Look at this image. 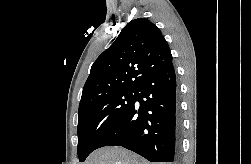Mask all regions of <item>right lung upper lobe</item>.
<instances>
[{"instance_id":"right-lung-upper-lobe-1","label":"right lung upper lobe","mask_w":251,"mask_h":164,"mask_svg":"<svg viewBox=\"0 0 251 164\" xmlns=\"http://www.w3.org/2000/svg\"><path fill=\"white\" fill-rule=\"evenodd\" d=\"M172 63L159 28L146 18L130 21L91 67L79 108L105 94L137 90L148 76Z\"/></svg>"}]
</instances>
